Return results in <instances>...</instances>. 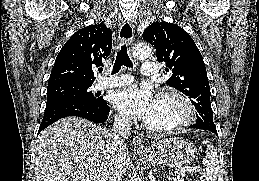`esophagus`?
<instances>
[{
    "label": "esophagus",
    "mask_w": 259,
    "mask_h": 181,
    "mask_svg": "<svg viewBox=\"0 0 259 181\" xmlns=\"http://www.w3.org/2000/svg\"><path fill=\"white\" fill-rule=\"evenodd\" d=\"M119 40L121 42H131L134 38V25L131 21L126 20L122 23L119 29ZM133 145L135 148L139 150H144L146 145H145V140L142 136L138 135L134 137L133 139Z\"/></svg>",
    "instance_id": "esophagus-1"
}]
</instances>
